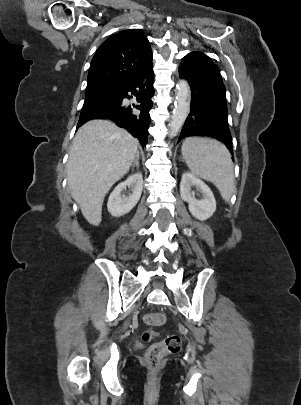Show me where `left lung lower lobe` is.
Here are the masks:
<instances>
[{"mask_svg": "<svg viewBox=\"0 0 301 405\" xmlns=\"http://www.w3.org/2000/svg\"><path fill=\"white\" fill-rule=\"evenodd\" d=\"M179 74L190 84L191 108L178 142L190 136L212 137L233 154L226 90L217 66L204 53L192 52L183 58Z\"/></svg>", "mask_w": 301, "mask_h": 405, "instance_id": "1", "label": "left lung lower lobe"}]
</instances>
